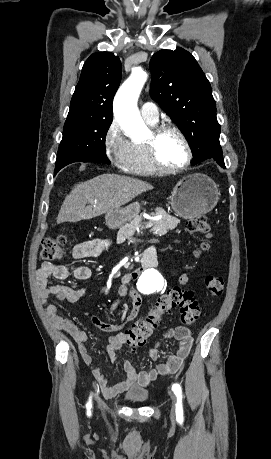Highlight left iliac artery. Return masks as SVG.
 I'll return each mask as SVG.
<instances>
[{
	"label": "left iliac artery",
	"mask_w": 271,
	"mask_h": 459,
	"mask_svg": "<svg viewBox=\"0 0 271 459\" xmlns=\"http://www.w3.org/2000/svg\"><path fill=\"white\" fill-rule=\"evenodd\" d=\"M172 390L174 391L177 397V404H176V417H180L183 419V407H182V390L179 384H173Z\"/></svg>",
	"instance_id": "left-iliac-artery-1"
}]
</instances>
